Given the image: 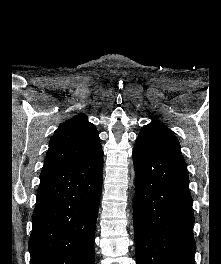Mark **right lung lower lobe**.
Here are the masks:
<instances>
[{"label":"right lung lower lobe","mask_w":221,"mask_h":264,"mask_svg":"<svg viewBox=\"0 0 221 264\" xmlns=\"http://www.w3.org/2000/svg\"><path fill=\"white\" fill-rule=\"evenodd\" d=\"M102 172L103 152L43 170L32 216L31 264H94Z\"/></svg>","instance_id":"1"}]
</instances>
